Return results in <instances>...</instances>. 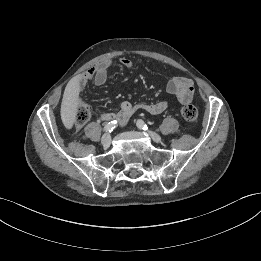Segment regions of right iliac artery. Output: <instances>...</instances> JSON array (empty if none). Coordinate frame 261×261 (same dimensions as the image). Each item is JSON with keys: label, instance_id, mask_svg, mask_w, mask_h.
<instances>
[{"label": "right iliac artery", "instance_id": "82829eb1", "mask_svg": "<svg viewBox=\"0 0 261 261\" xmlns=\"http://www.w3.org/2000/svg\"><path fill=\"white\" fill-rule=\"evenodd\" d=\"M117 126V121H111L104 126V131L111 132Z\"/></svg>", "mask_w": 261, "mask_h": 261}]
</instances>
